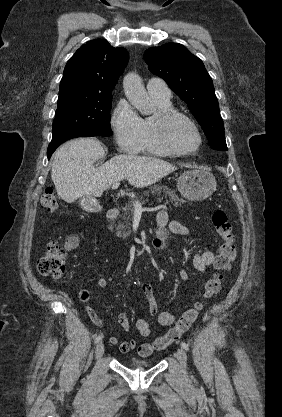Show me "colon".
I'll use <instances>...</instances> for the list:
<instances>
[{
    "label": "colon",
    "instance_id": "obj_1",
    "mask_svg": "<svg viewBox=\"0 0 282 417\" xmlns=\"http://www.w3.org/2000/svg\"><path fill=\"white\" fill-rule=\"evenodd\" d=\"M41 204L47 213H53L58 208V198L52 187H46L42 196ZM212 222L220 238L221 244L217 253V265L220 268L228 269L236 259V239L232 231V224L223 210H217L212 215ZM37 270L41 274L50 275L54 278H61L66 275V262L64 249L57 243L47 244L46 254L38 261ZM222 288L221 275H214L209 278L204 286L203 297L210 298L217 295ZM203 304L199 302L187 310L175 323L171 330L166 331L163 339H156L152 347H141V356H152L153 353H162L166 344H175L181 338L183 332L197 319Z\"/></svg>",
    "mask_w": 282,
    "mask_h": 417
}]
</instances>
